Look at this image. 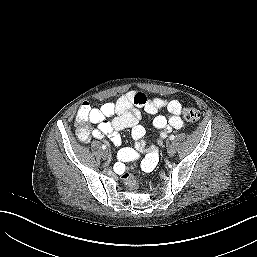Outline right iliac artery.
<instances>
[{
    "instance_id": "1",
    "label": "right iliac artery",
    "mask_w": 257,
    "mask_h": 257,
    "mask_svg": "<svg viewBox=\"0 0 257 257\" xmlns=\"http://www.w3.org/2000/svg\"><path fill=\"white\" fill-rule=\"evenodd\" d=\"M106 148H107L106 145L103 144V145H102V149H106Z\"/></svg>"
}]
</instances>
